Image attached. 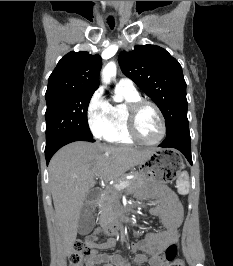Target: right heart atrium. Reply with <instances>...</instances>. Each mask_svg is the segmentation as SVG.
I'll return each instance as SVG.
<instances>
[{
	"mask_svg": "<svg viewBox=\"0 0 233 266\" xmlns=\"http://www.w3.org/2000/svg\"><path fill=\"white\" fill-rule=\"evenodd\" d=\"M86 115L92 134L96 138H106L112 129L110 103L105 99L100 89L91 96Z\"/></svg>",
	"mask_w": 233,
	"mask_h": 266,
	"instance_id": "obj_1",
	"label": "right heart atrium"
}]
</instances>
